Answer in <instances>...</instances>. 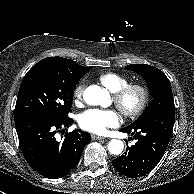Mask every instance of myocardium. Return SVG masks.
<instances>
[{"label":"myocardium","instance_id":"myocardium-1","mask_svg":"<svg viewBox=\"0 0 194 194\" xmlns=\"http://www.w3.org/2000/svg\"><path fill=\"white\" fill-rule=\"evenodd\" d=\"M132 92L138 94V102L134 106L127 105V99ZM149 89L142 83H128L113 93V102L127 118H135L143 113L149 101Z\"/></svg>","mask_w":194,"mask_h":194}]
</instances>
